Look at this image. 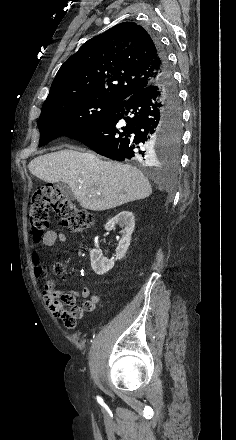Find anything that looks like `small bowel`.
Instances as JSON below:
<instances>
[{
    "label": "small bowel",
    "instance_id": "small-bowel-1",
    "mask_svg": "<svg viewBox=\"0 0 236 440\" xmlns=\"http://www.w3.org/2000/svg\"><path fill=\"white\" fill-rule=\"evenodd\" d=\"M67 241L66 234L62 232H56L54 230L47 231L43 237L42 245L47 248H51L55 246L57 243L64 244ZM37 255H35L36 257ZM60 296L64 298L65 302L69 306L70 310H66L63 305L56 302L53 296L46 292L42 291V297L45 303L48 305L50 312L59 317L61 320L63 319L64 312H67L69 315L73 317L75 321H65L64 328L65 330H77L78 323L76 320L82 319L87 312H92L97 303L99 302V297L97 295H91V291L89 287H83L79 291L74 292H61ZM82 298L84 299L82 306L75 305L76 299Z\"/></svg>",
    "mask_w": 236,
    "mask_h": 440
}]
</instances>
